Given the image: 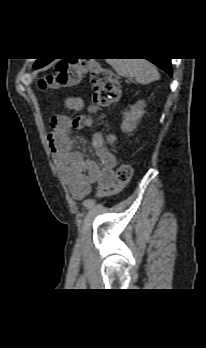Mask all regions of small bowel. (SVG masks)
Instances as JSON below:
<instances>
[{"label": "small bowel", "instance_id": "small-bowel-1", "mask_svg": "<svg viewBox=\"0 0 206 348\" xmlns=\"http://www.w3.org/2000/svg\"><path fill=\"white\" fill-rule=\"evenodd\" d=\"M65 105L70 110L80 111L83 108V101L80 98L69 97L65 100ZM92 124V118L84 122L86 127ZM49 125L48 144L54 154L60 177L76 200H82L90 192L91 185L94 183L99 186L115 183L117 159L106 149L101 133H94L91 138V146L98 158V163H95L86 160L82 152L73 149L69 117L55 115L51 118Z\"/></svg>", "mask_w": 206, "mask_h": 348}]
</instances>
